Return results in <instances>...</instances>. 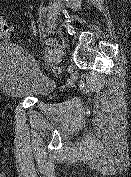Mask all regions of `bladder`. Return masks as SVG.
<instances>
[{"label": "bladder", "mask_w": 131, "mask_h": 177, "mask_svg": "<svg viewBox=\"0 0 131 177\" xmlns=\"http://www.w3.org/2000/svg\"><path fill=\"white\" fill-rule=\"evenodd\" d=\"M54 83L44 75L33 57L21 47L0 46V91L14 98L43 99L54 90Z\"/></svg>", "instance_id": "1"}]
</instances>
